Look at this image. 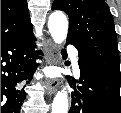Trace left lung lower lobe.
Returning <instances> with one entry per match:
<instances>
[{
    "label": "left lung lower lobe",
    "mask_w": 121,
    "mask_h": 113,
    "mask_svg": "<svg viewBox=\"0 0 121 113\" xmlns=\"http://www.w3.org/2000/svg\"><path fill=\"white\" fill-rule=\"evenodd\" d=\"M78 64L82 86L74 87L69 113H121L120 81L80 53Z\"/></svg>",
    "instance_id": "0a47b994"
}]
</instances>
